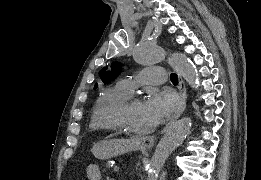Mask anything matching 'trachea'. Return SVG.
Returning a JSON list of instances; mask_svg holds the SVG:
<instances>
[{
  "label": "trachea",
  "mask_w": 261,
  "mask_h": 180,
  "mask_svg": "<svg viewBox=\"0 0 261 180\" xmlns=\"http://www.w3.org/2000/svg\"><path fill=\"white\" fill-rule=\"evenodd\" d=\"M170 79L172 83H178V76L176 73H171Z\"/></svg>",
  "instance_id": "trachea-1"
}]
</instances>
